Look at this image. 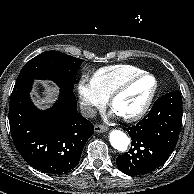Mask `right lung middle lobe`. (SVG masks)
<instances>
[{
    "label": "right lung middle lobe",
    "instance_id": "right-lung-middle-lobe-1",
    "mask_svg": "<svg viewBox=\"0 0 194 194\" xmlns=\"http://www.w3.org/2000/svg\"><path fill=\"white\" fill-rule=\"evenodd\" d=\"M82 62V59L59 51H46L24 65L16 83L34 79H50L60 88L73 89L75 76Z\"/></svg>",
    "mask_w": 194,
    "mask_h": 194
}]
</instances>
